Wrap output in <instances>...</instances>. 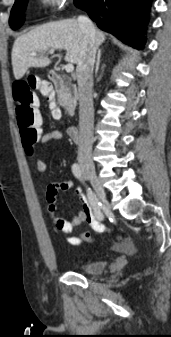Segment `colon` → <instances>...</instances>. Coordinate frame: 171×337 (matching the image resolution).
Masks as SVG:
<instances>
[{
	"label": "colon",
	"instance_id": "obj_1",
	"mask_svg": "<svg viewBox=\"0 0 171 337\" xmlns=\"http://www.w3.org/2000/svg\"><path fill=\"white\" fill-rule=\"evenodd\" d=\"M39 90L44 102H48L47 112L52 113L53 119H64V112L58 110V97L55 91L40 78L21 80L13 85L14 99L16 103L17 125L20 129L21 143L28 155H32L40 138V133L45 132V127L40 126L41 116L38 104L33 96V91ZM85 240H91V234H82ZM117 242L122 249L132 248L130 242L122 236L117 237Z\"/></svg>",
	"mask_w": 171,
	"mask_h": 337
}]
</instances>
